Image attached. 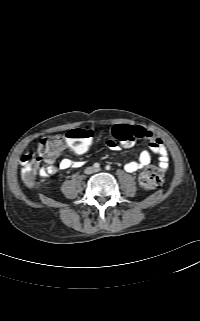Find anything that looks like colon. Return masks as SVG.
Listing matches in <instances>:
<instances>
[{
    "label": "colon",
    "mask_w": 200,
    "mask_h": 321,
    "mask_svg": "<svg viewBox=\"0 0 200 321\" xmlns=\"http://www.w3.org/2000/svg\"><path fill=\"white\" fill-rule=\"evenodd\" d=\"M111 135L126 147L132 146L136 139L140 138L139 131L129 125H115L111 129ZM91 142L92 133L88 129H72L64 135H53L41 139L36 150L28 152L21 159L24 181L32 185L41 163L55 157L65 146L78 154H83ZM162 181L163 173L156 166H149L139 176V184L145 190L157 188Z\"/></svg>",
    "instance_id": "1"
}]
</instances>
